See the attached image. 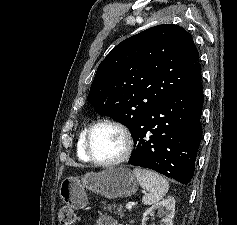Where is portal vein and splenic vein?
Segmentation results:
<instances>
[{
	"label": "portal vein and splenic vein",
	"mask_w": 237,
	"mask_h": 225,
	"mask_svg": "<svg viewBox=\"0 0 237 225\" xmlns=\"http://www.w3.org/2000/svg\"><path fill=\"white\" fill-rule=\"evenodd\" d=\"M126 208L129 209V210L132 209V204L127 203V204H126Z\"/></svg>",
	"instance_id": "18ae733b"
}]
</instances>
